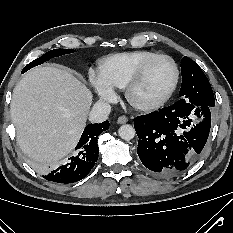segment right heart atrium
<instances>
[{
  "label": "right heart atrium",
  "mask_w": 233,
  "mask_h": 233,
  "mask_svg": "<svg viewBox=\"0 0 233 233\" xmlns=\"http://www.w3.org/2000/svg\"><path fill=\"white\" fill-rule=\"evenodd\" d=\"M90 83L100 99L111 102L115 98L114 88L110 87L103 79L100 70L89 71Z\"/></svg>",
  "instance_id": "1"
}]
</instances>
